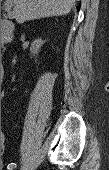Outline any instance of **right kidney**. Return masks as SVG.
<instances>
[{"mask_svg": "<svg viewBox=\"0 0 109 170\" xmlns=\"http://www.w3.org/2000/svg\"><path fill=\"white\" fill-rule=\"evenodd\" d=\"M45 41L42 39H36L32 42L31 47H30V52L31 54L36 55L41 48V46L44 44Z\"/></svg>", "mask_w": 109, "mask_h": 170, "instance_id": "right-kidney-1", "label": "right kidney"}]
</instances>
